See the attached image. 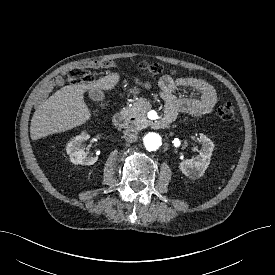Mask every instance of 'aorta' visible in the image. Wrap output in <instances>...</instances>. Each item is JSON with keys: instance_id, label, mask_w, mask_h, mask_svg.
I'll return each mask as SVG.
<instances>
[{"instance_id": "aorta-1", "label": "aorta", "mask_w": 275, "mask_h": 275, "mask_svg": "<svg viewBox=\"0 0 275 275\" xmlns=\"http://www.w3.org/2000/svg\"><path fill=\"white\" fill-rule=\"evenodd\" d=\"M143 143L148 151H156L162 145V138L157 133L149 132L144 136Z\"/></svg>"}]
</instances>
